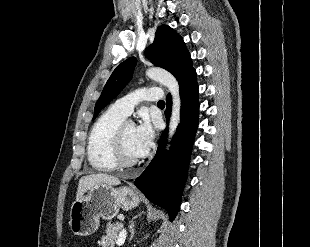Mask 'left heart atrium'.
<instances>
[{
	"mask_svg": "<svg viewBox=\"0 0 310 247\" xmlns=\"http://www.w3.org/2000/svg\"><path fill=\"white\" fill-rule=\"evenodd\" d=\"M154 137L155 131L152 122L148 116L144 115L135 132V148L138 157L148 153L153 144Z\"/></svg>",
	"mask_w": 310,
	"mask_h": 247,
	"instance_id": "left-heart-atrium-1",
	"label": "left heart atrium"
}]
</instances>
